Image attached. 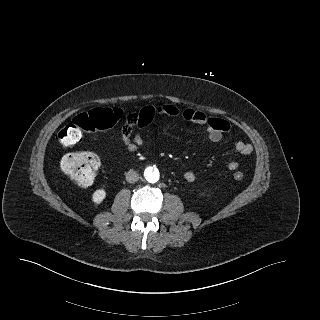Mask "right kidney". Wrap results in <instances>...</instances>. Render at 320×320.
<instances>
[{"label": "right kidney", "instance_id": "right-kidney-1", "mask_svg": "<svg viewBox=\"0 0 320 320\" xmlns=\"http://www.w3.org/2000/svg\"><path fill=\"white\" fill-rule=\"evenodd\" d=\"M106 197V191L104 189H97L92 195V201L95 204L101 203Z\"/></svg>", "mask_w": 320, "mask_h": 320}]
</instances>
